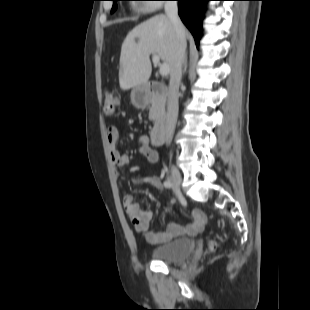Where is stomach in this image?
<instances>
[{
	"label": "stomach",
	"instance_id": "0dacf381",
	"mask_svg": "<svg viewBox=\"0 0 310 310\" xmlns=\"http://www.w3.org/2000/svg\"><path fill=\"white\" fill-rule=\"evenodd\" d=\"M147 91L144 87L138 86L133 88L131 92V101L136 107H143L147 103Z\"/></svg>",
	"mask_w": 310,
	"mask_h": 310
}]
</instances>
